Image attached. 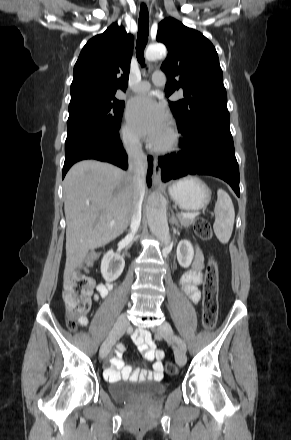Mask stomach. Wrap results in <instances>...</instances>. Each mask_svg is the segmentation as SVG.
Here are the masks:
<instances>
[{"label": "stomach", "instance_id": "0dacf381", "mask_svg": "<svg viewBox=\"0 0 291 440\" xmlns=\"http://www.w3.org/2000/svg\"><path fill=\"white\" fill-rule=\"evenodd\" d=\"M173 201L183 210L198 211L211 200V190L198 177H185L169 187Z\"/></svg>", "mask_w": 291, "mask_h": 440}]
</instances>
